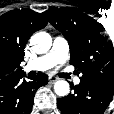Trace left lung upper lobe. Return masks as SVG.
<instances>
[{"label": "left lung upper lobe", "instance_id": "obj_1", "mask_svg": "<svg viewBox=\"0 0 114 114\" xmlns=\"http://www.w3.org/2000/svg\"><path fill=\"white\" fill-rule=\"evenodd\" d=\"M70 46V64L82 80L114 87V48L103 36V26L89 15L63 7L45 12Z\"/></svg>", "mask_w": 114, "mask_h": 114}]
</instances>
